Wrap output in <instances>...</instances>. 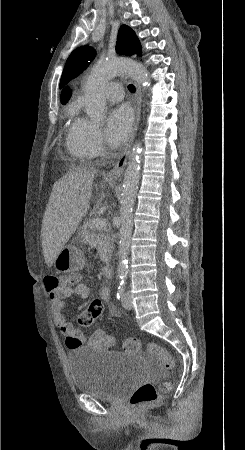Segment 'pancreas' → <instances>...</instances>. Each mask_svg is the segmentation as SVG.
Wrapping results in <instances>:
<instances>
[{"mask_svg": "<svg viewBox=\"0 0 245 450\" xmlns=\"http://www.w3.org/2000/svg\"><path fill=\"white\" fill-rule=\"evenodd\" d=\"M82 240L97 248L100 259L107 262L112 254L113 240L110 227L97 230L93 226V219L86 220L80 228Z\"/></svg>", "mask_w": 245, "mask_h": 450, "instance_id": "pancreas-1", "label": "pancreas"}]
</instances>
